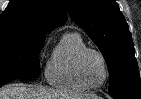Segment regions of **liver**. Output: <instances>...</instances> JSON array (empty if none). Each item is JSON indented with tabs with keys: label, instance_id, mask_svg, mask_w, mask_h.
I'll use <instances>...</instances> for the list:
<instances>
[{
	"label": "liver",
	"instance_id": "6515ba94",
	"mask_svg": "<svg viewBox=\"0 0 141 99\" xmlns=\"http://www.w3.org/2000/svg\"><path fill=\"white\" fill-rule=\"evenodd\" d=\"M90 94H67L41 86L8 85L0 90V99H85Z\"/></svg>",
	"mask_w": 141,
	"mask_h": 99
}]
</instances>
